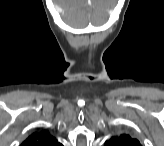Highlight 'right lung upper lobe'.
<instances>
[{
	"label": "right lung upper lobe",
	"mask_w": 164,
	"mask_h": 146,
	"mask_svg": "<svg viewBox=\"0 0 164 146\" xmlns=\"http://www.w3.org/2000/svg\"><path fill=\"white\" fill-rule=\"evenodd\" d=\"M22 146H60L53 136H50L47 131L31 134L23 143Z\"/></svg>",
	"instance_id": "1"
}]
</instances>
